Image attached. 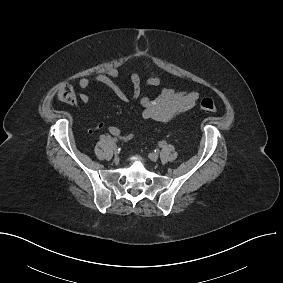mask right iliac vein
Returning <instances> with one entry per match:
<instances>
[{"label": "right iliac vein", "mask_w": 283, "mask_h": 283, "mask_svg": "<svg viewBox=\"0 0 283 283\" xmlns=\"http://www.w3.org/2000/svg\"><path fill=\"white\" fill-rule=\"evenodd\" d=\"M110 147H111L114 151L117 150V146H116L115 144H113V143L110 144Z\"/></svg>", "instance_id": "63e3f726"}]
</instances>
